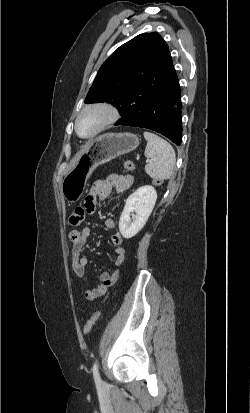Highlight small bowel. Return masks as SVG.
Here are the masks:
<instances>
[{"instance_id":"1","label":"small bowel","mask_w":250,"mask_h":413,"mask_svg":"<svg viewBox=\"0 0 250 413\" xmlns=\"http://www.w3.org/2000/svg\"><path fill=\"white\" fill-rule=\"evenodd\" d=\"M133 184V177L131 175L109 174L104 178L97 179L84 198V205L86 206L85 214L91 215L94 211V205L97 199L104 200L110 196L113 190L117 193H122L131 188ZM116 223L114 219L107 218L105 220V227L113 229ZM91 235L90 227L86 226L81 230H73L69 233V240L71 243L70 257L72 260V267L79 278H83L85 268L89 263L87 256L82 254V249L86 245ZM111 243L114 246L113 252L115 254L114 265L116 269L113 272H103L99 276L98 284L89 289L82 287V292L86 300L92 301L101 295L112 286L119 275V267L124 263L126 256V249L123 246V237L120 233H114L111 236Z\"/></svg>"}]
</instances>
